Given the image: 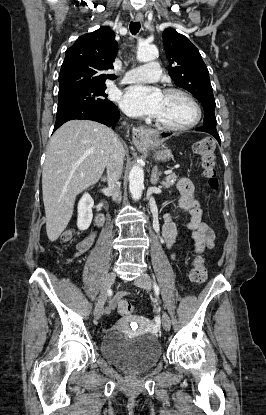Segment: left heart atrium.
Here are the masks:
<instances>
[{"label": "left heart atrium", "instance_id": "1", "mask_svg": "<svg viewBox=\"0 0 266 415\" xmlns=\"http://www.w3.org/2000/svg\"><path fill=\"white\" fill-rule=\"evenodd\" d=\"M163 96L157 88L133 86L123 95L121 107L132 116L156 117L161 110Z\"/></svg>", "mask_w": 266, "mask_h": 415}]
</instances>
